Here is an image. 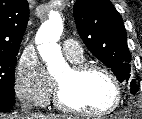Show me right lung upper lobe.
Here are the masks:
<instances>
[{
  "instance_id": "obj_1",
  "label": "right lung upper lobe",
  "mask_w": 142,
  "mask_h": 119,
  "mask_svg": "<svg viewBox=\"0 0 142 119\" xmlns=\"http://www.w3.org/2000/svg\"><path fill=\"white\" fill-rule=\"evenodd\" d=\"M29 17L27 0H0V52H18Z\"/></svg>"
}]
</instances>
